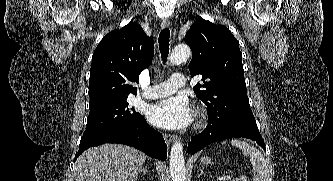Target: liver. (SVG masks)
Masks as SVG:
<instances>
[{
    "mask_svg": "<svg viewBox=\"0 0 333 181\" xmlns=\"http://www.w3.org/2000/svg\"><path fill=\"white\" fill-rule=\"evenodd\" d=\"M146 158L143 152L125 145L92 147L76 160L75 181H136Z\"/></svg>",
    "mask_w": 333,
    "mask_h": 181,
    "instance_id": "obj_1",
    "label": "liver"
}]
</instances>
